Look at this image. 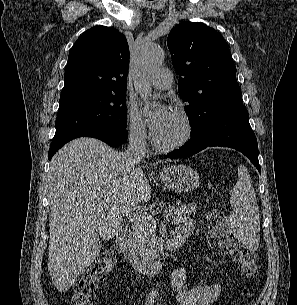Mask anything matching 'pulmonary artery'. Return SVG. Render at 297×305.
Returning <instances> with one entry per match:
<instances>
[{"label": "pulmonary artery", "instance_id": "e3ab8cb5", "mask_svg": "<svg viewBox=\"0 0 297 305\" xmlns=\"http://www.w3.org/2000/svg\"><path fill=\"white\" fill-rule=\"evenodd\" d=\"M151 86L158 90H167L173 84V75L167 68L157 70L150 82Z\"/></svg>", "mask_w": 297, "mask_h": 305}]
</instances>
